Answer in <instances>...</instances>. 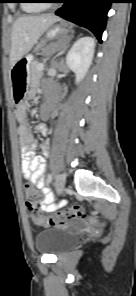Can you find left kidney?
<instances>
[{
	"instance_id": "obj_1",
	"label": "left kidney",
	"mask_w": 136,
	"mask_h": 296,
	"mask_svg": "<svg viewBox=\"0 0 136 296\" xmlns=\"http://www.w3.org/2000/svg\"><path fill=\"white\" fill-rule=\"evenodd\" d=\"M95 41L90 36L77 40L66 56L67 66L75 73V83L79 84L92 63Z\"/></svg>"
}]
</instances>
